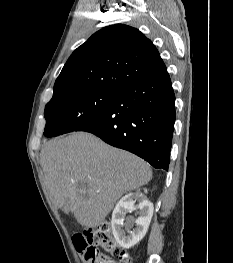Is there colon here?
Returning <instances> with one entry per match:
<instances>
[{"label": "colon", "mask_w": 233, "mask_h": 263, "mask_svg": "<svg viewBox=\"0 0 233 263\" xmlns=\"http://www.w3.org/2000/svg\"><path fill=\"white\" fill-rule=\"evenodd\" d=\"M73 242L84 263H107L110 256L118 257L119 263H133L132 258L116 242L107 222L84 235L75 234Z\"/></svg>", "instance_id": "colon-1"}]
</instances>
